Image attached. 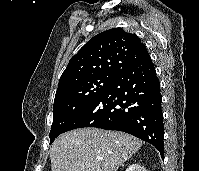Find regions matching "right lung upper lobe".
Segmentation results:
<instances>
[{
	"mask_svg": "<svg viewBox=\"0 0 199 171\" xmlns=\"http://www.w3.org/2000/svg\"><path fill=\"white\" fill-rule=\"evenodd\" d=\"M150 55L135 34L121 28L104 31L91 38L74 55L60 77L55 99L80 83L97 76H116Z\"/></svg>",
	"mask_w": 199,
	"mask_h": 171,
	"instance_id": "1",
	"label": "right lung upper lobe"
}]
</instances>
